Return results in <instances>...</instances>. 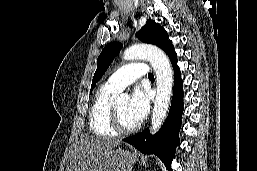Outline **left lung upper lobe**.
Listing matches in <instances>:
<instances>
[{"instance_id":"obj_1","label":"left lung upper lobe","mask_w":257,"mask_h":171,"mask_svg":"<svg viewBox=\"0 0 257 171\" xmlns=\"http://www.w3.org/2000/svg\"><path fill=\"white\" fill-rule=\"evenodd\" d=\"M137 36L142 42L156 45L168 55L174 51V47L165 29L151 19L146 22L145 26L137 33ZM121 48L122 44L119 42H112L104 47L97 59V69L92 80L90 92L95 87L97 81L106 72Z\"/></svg>"}]
</instances>
